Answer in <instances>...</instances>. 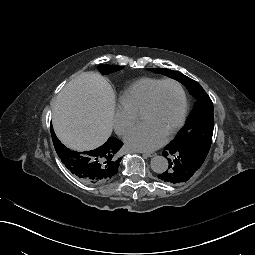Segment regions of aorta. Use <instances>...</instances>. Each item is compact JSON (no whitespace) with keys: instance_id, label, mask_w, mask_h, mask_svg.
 I'll use <instances>...</instances> for the list:
<instances>
[{"instance_id":"1","label":"aorta","mask_w":255,"mask_h":255,"mask_svg":"<svg viewBox=\"0 0 255 255\" xmlns=\"http://www.w3.org/2000/svg\"><path fill=\"white\" fill-rule=\"evenodd\" d=\"M168 161L163 156H155L151 160V169L158 174L165 172L168 168Z\"/></svg>"}]
</instances>
